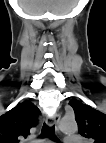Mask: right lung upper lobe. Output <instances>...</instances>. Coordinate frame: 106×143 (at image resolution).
Listing matches in <instances>:
<instances>
[{
  "mask_svg": "<svg viewBox=\"0 0 106 143\" xmlns=\"http://www.w3.org/2000/svg\"><path fill=\"white\" fill-rule=\"evenodd\" d=\"M40 110L31 102L24 101L0 116V143H19L38 122Z\"/></svg>",
  "mask_w": 106,
  "mask_h": 143,
  "instance_id": "right-lung-upper-lobe-1",
  "label": "right lung upper lobe"
}]
</instances>
